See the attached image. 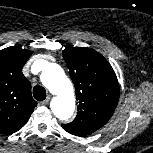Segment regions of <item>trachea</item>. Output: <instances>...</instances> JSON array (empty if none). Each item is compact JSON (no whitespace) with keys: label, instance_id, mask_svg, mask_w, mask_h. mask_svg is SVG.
<instances>
[{"label":"trachea","instance_id":"3493384b","mask_svg":"<svg viewBox=\"0 0 153 153\" xmlns=\"http://www.w3.org/2000/svg\"><path fill=\"white\" fill-rule=\"evenodd\" d=\"M33 96L36 100L43 101L46 98V90L42 86H35Z\"/></svg>","mask_w":153,"mask_h":153}]
</instances>
